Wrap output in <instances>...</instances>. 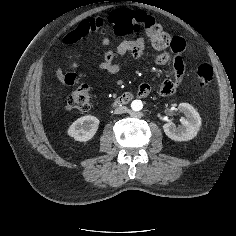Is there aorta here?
I'll return each mask as SVG.
<instances>
[{"label": "aorta", "instance_id": "1", "mask_svg": "<svg viewBox=\"0 0 236 236\" xmlns=\"http://www.w3.org/2000/svg\"><path fill=\"white\" fill-rule=\"evenodd\" d=\"M131 108L133 111H140L143 108V103L141 100H133L131 103Z\"/></svg>", "mask_w": 236, "mask_h": 236}]
</instances>
